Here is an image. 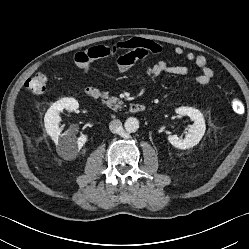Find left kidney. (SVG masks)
<instances>
[{
	"mask_svg": "<svg viewBox=\"0 0 249 249\" xmlns=\"http://www.w3.org/2000/svg\"><path fill=\"white\" fill-rule=\"evenodd\" d=\"M175 111L181 116H189L194 120V123L188 128V134L184 139L177 135H169L167 139L171 145L178 149H189L197 145L205 133L206 126L203 114L192 107H179Z\"/></svg>",
	"mask_w": 249,
	"mask_h": 249,
	"instance_id": "obj_1",
	"label": "left kidney"
}]
</instances>
